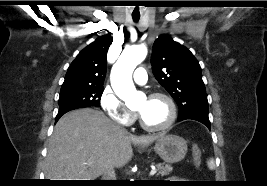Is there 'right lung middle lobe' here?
<instances>
[{"mask_svg": "<svg viewBox=\"0 0 267 186\" xmlns=\"http://www.w3.org/2000/svg\"><path fill=\"white\" fill-rule=\"evenodd\" d=\"M104 88L94 86L62 87L59 97V112L100 105Z\"/></svg>", "mask_w": 267, "mask_h": 186, "instance_id": "1", "label": "right lung middle lobe"}]
</instances>
